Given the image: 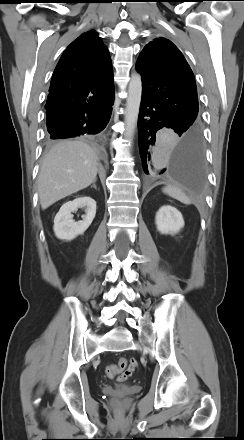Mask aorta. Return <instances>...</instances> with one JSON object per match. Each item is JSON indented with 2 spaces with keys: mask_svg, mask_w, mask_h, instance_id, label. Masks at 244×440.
Wrapping results in <instances>:
<instances>
[{
  "mask_svg": "<svg viewBox=\"0 0 244 440\" xmlns=\"http://www.w3.org/2000/svg\"><path fill=\"white\" fill-rule=\"evenodd\" d=\"M142 95V81L139 74H133L128 86V97L125 112V136L132 139L139 114Z\"/></svg>",
  "mask_w": 244,
  "mask_h": 440,
  "instance_id": "obj_1",
  "label": "aorta"
}]
</instances>
